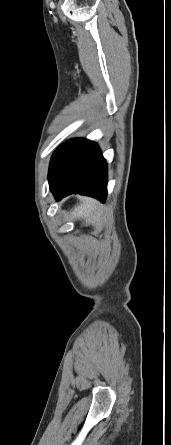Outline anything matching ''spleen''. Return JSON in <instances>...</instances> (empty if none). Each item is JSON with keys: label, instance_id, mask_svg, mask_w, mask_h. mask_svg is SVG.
<instances>
[{"label": "spleen", "instance_id": "1", "mask_svg": "<svg viewBox=\"0 0 171 445\" xmlns=\"http://www.w3.org/2000/svg\"><path fill=\"white\" fill-rule=\"evenodd\" d=\"M96 203L91 199H85L83 203L75 208L73 217L75 218H88L95 210Z\"/></svg>", "mask_w": 171, "mask_h": 445}]
</instances>
